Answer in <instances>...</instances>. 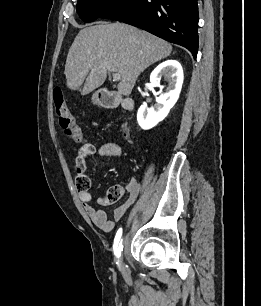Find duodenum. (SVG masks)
I'll return each mask as SVG.
<instances>
[{
  "mask_svg": "<svg viewBox=\"0 0 261 306\" xmlns=\"http://www.w3.org/2000/svg\"><path fill=\"white\" fill-rule=\"evenodd\" d=\"M98 98L100 104L105 108H115L121 105L123 108L131 110L134 107L132 99L122 98L120 95L108 90L100 91Z\"/></svg>",
  "mask_w": 261,
  "mask_h": 306,
  "instance_id": "1",
  "label": "duodenum"
}]
</instances>
